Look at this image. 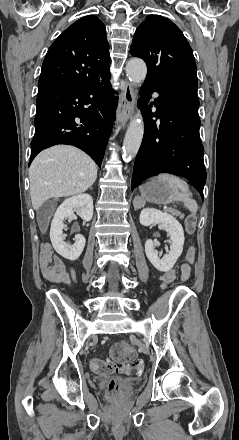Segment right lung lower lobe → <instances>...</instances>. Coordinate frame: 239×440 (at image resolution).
Instances as JSON below:
<instances>
[{"mask_svg":"<svg viewBox=\"0 0 239 440\" xmlns=\"http://www.w3.org/2000/svg\"><path fill=\"white\" fill-rule=\"evenodd\" d=\"M109 80L110 74L85 84L38 90L29 165L40 151L69 144L101 166L116 107Z\"/></svg>","mask_w":239,"mask_h":440,"instance_id":"98d812e1","label":"right lung lower lobe"}]
</instances>
